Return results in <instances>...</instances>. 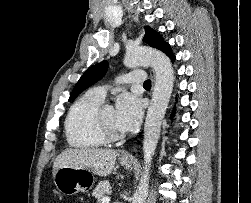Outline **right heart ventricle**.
<instances>
[{
    "label": "right heart ventricle",
    "mask_w": 251,
    "mask_h": 203,
    "mask_svg": "<svg viewBox=\"0 0 251 203\" xmlns=\"http://www.w3.org/2000/svg\"><path fill=\"white\" fill-rule=\"evenodd\" d=\"M102 102L87 92L71 105L65 119V134L70 146L90 150L105 145L106 140L97 127Z\"/></svg>",
    "instance_id": "obj_1"
}]
</instances>
